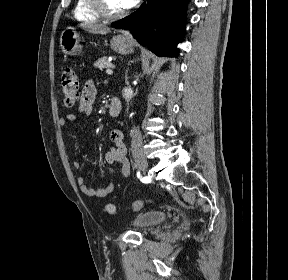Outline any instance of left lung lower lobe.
Listing matches in <instances>:
<instances>
[{
  "label": "left lung lower lobe",
  "mask_w": 288,
  "mask_h": 280,
  "mask_svg": "<svg viewBox=\"0 0 288 280\" xmlns=\"http://www.w3.org/2000/svg\"><path fill=\"white\" fill-rule=\"evenodd\" d=\"M189 0H147L136 12L112 23L129 28L137 41L156 55L177 57Z\"/></svg>",
  "instance_id": "0a47b994"
}]
</instances>
